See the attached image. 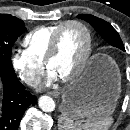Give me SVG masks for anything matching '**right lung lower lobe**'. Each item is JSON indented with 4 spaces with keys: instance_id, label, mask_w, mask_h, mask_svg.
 <instances>
[{
    "instance_id": "obj_1",
    "label": "right lung lower lobe",
    "mask_w": 130,
    "mask_h": 130,
    "mask_svg": "<svg viewBox=\"0 0 130 130\" xmlns=\"http://www.w3.org/2000/svg\"><path fill=\"white\" fill-rule=\"evenodd\" d=\"M0 77L3 83L0 130H18L25 110L37 98L27 91L25 86L18 81L14 70L0 65Z\"/></svg>"
}]
</instances>
